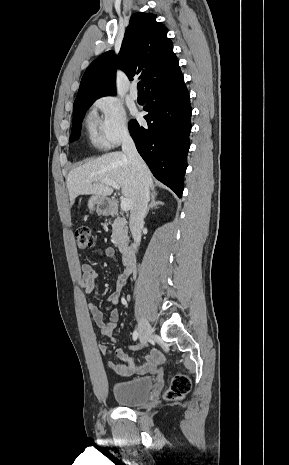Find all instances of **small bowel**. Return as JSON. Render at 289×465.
Returning a JSON list of instances; mask_svg holds the SVG:
<instances>
[{"instance_id": "small-bowel-1", "label": "small bowel", "mask_w": 289, "mask_h": 465, "mask_svg": "<svg viewBox=\"0 0 289 465\" xmlns=\"http://www.w3.org/2000/svg\"><path fill=\"white\" fill-rule=\"evenodd\" d=\"M94 254L98 258H112L115 255V250L112 247H108L106 249L97 248L94 250ZM81 270L82 276L80 279V285L86 293H91L95 288V284L98 279V272L95 271L93 267L88 263L83 264ZM130 275L131 269L128 267H126L123 272H120L118 274L116 290L107 298V302H109L113 306L107 320L104 319L103 313L95 303H88L89 312L92 315L93 320L99 327L101 335L104 337L111 338L113 336L115 328L117 327L119 320V312L116 306L119 303V300L123 294L124 286L128 282ZM99 350L102 354H105L107 352L106 345H100ZM116 354L117 357L121 360V363L118 364L110 361L108 362V365L112 371L121 376H130L133 374H146L152 372L155 370L157 366H159L163 362L164 359L163 354L159 350H153L144 359L143 362H141L138 365H135L133 363V360L121 348L117 349Z\"/></svg>"}]
</instances>
